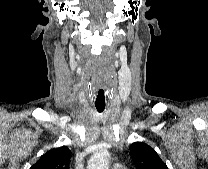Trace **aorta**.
Instances as JSON below:
<instances>
[{
  "label": "aorta",
  "mask_w": 208,
  "mask_h": 169,
  "mask_svg": "<svg viewBox=\"0 0 208 169\" xmlns=\"http://www.w3.org/2000/svg\"><path fill=\"white\" fill-rule=\"evenodd\" d=\"M109 151L106 148L98 149L88 162V169H108L109 168Z\"/></svg>",
  "instance_id": "obj_1"
}]
</instances>
